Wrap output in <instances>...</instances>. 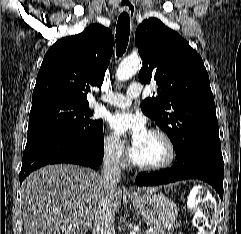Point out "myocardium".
<instances>
[{
    "label": "myocardium",
    "mask_w": 241,
    "mask_h": 234,
    "mask_svg": "<svg viewBox=\"0 0 241 234\" xmlns=\"http://www.w3.org/2000/svg\"><path fill=\"white\" fill-rule=\"evenodd\" d=\"M149 133L159 136L166 145L167 148V156L164 161L158 164H143L136 161L132 155V152L129 153L130 163L137 169L142 171H160L170 167L176 158V147L171 139V137L160 128H152L149 130Z\"/></svg>",
    "instance_id": "f54148a6"
}]
</instances>
